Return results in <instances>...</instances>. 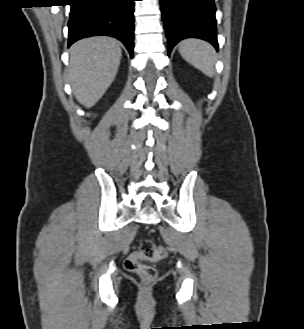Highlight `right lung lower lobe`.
Masks as SVG:
<instances>
[{
	"instance_id": "obj_1",
	"label": "right lung lower lobe",
	"mask_w": 304,
	"mask_h": 329,
	"mask_svg": "<svg viewBox=\"0 0 304 329\" xmlns=\"http://www.w3.org/2000/svg\"><path fill=\"white\" fill-rule=\"evenodd\" d=\"M69 43L106 35L119 39L133 56L134 0H70Z\"/></svg>"
}]
</instances>
